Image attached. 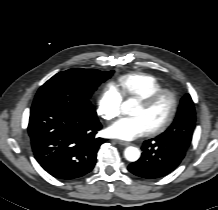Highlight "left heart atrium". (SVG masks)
Returning <instances> with one entry per match:
<instances>
[{
  "mask_svg": "<svg viewBox=\"0 0 218 210\" xmlns=\"http://www.w3.org/2000/svg\"><path fill=\"white\" fill-rule=\"evenodd\" d=\"M149 127L142 117L122 118L107 128V134L120 140H133L146 135Z\"/></svg>",
  "mask_w": 218,
  "mask_h": 210,
  "instance_id": "39dd6f15",
  "label": "left heart atrium"
}]
</instances>
